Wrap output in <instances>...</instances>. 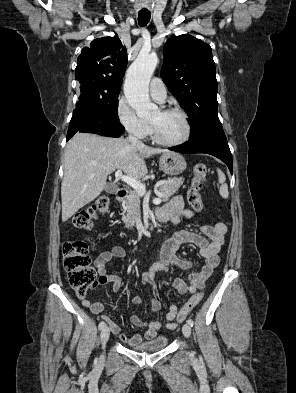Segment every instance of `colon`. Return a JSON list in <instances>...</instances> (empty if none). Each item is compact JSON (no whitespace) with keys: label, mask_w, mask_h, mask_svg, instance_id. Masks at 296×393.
I'll return each mask as SVG.
<instances>
[{"label":"colon","mask_w":296,"mask_h":393,"mask_svg":"<svg viewBox=\"0 0 296 393\" xmlns=\"http://www.w3.org/2000/svg\"><path fill=\"white\" fill-rule=\"evenodd\" d=\"M206 175V164L199 163L194 167L187 198L191 208L196 212H200L203 209L200 190L203 187ZM108 207V197L101 196L97 198L91 206L80 210L73 216V225L78 229H89L96 215L98 213H105ZM88 252V243L80 239L67 241L63 247L64 267L68 274L69 284L80 297L85 296L87 290L94 285L96 281V272L91 266V258ZM202 298V291L195 293L179 310L176 321L179 323L183 322L199 304Z\"/></svg>","instance_id":"5ec220e1"}]
</instances>
